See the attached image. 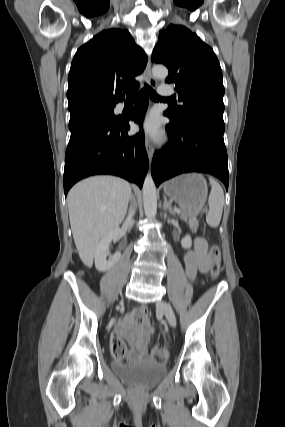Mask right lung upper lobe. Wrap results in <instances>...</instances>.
Returning <instances> with one entry per match:
<instances>
[{"label":"right lung upper lobe","instance_id":"cb5924a9","mask_svg":"<svg viewBox=\"0 0 285 427\" xmlns=\"http://www.w3.org/2000/svg\"><path fill=\"white\" fill-rule=\"evenodd\" d=\"M146 64V54L127 30L102 31L73 58L67 91L70 114L89 106L116 105L125 98L121 89L137 85L134 77Z\"/></svg>","mask_w":285,"mask_h":427}]
</instances>
